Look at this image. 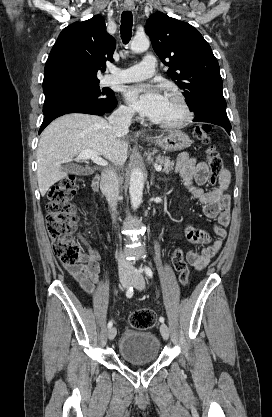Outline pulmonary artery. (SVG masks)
<instances>
[{
	"mask_svg": "<svg viewBox=\"0 0 272 417\" xmlns=\"http://www.w3.org/2000/svg\"><path fill=\"white\" fill-rule=\"evenodd\" d=\"M156 59L153 55H146L143 60L123 70H113L106 79L107 84L129 83L151 77L155 73Z\"/></svg>",
	"mask_w": 272,
	"mask_h": 417,
	"instance_id": "1",
	"label": "pulmonary artery"
}]
</instances>
